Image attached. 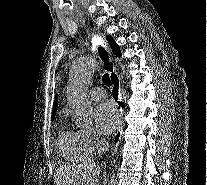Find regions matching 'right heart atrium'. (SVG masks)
<instances>
[{"mask_svg": "<svg viewBox=\"0 0 207 185\" xmlns=\"http://www.w3.org/2000/svg\"><path fill=\"white\" fill-rule=\"evenodd\" d=\"M86 139L96 148H100L105 144V138L98 131L92 128L81 130Z\"/></svg>", "mask_w": 207, "mask_h": 185, "instance_id": "right-heart-atrium-1", "label": "right heart atrium"}]
</instances>
